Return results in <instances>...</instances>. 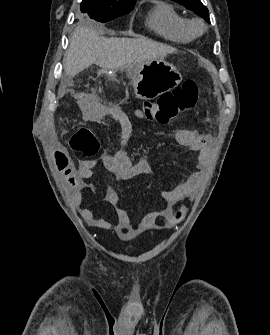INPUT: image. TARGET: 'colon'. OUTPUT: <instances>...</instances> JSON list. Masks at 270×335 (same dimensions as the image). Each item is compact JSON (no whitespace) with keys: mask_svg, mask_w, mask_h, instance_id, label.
<instances>
[{"mask_svg":"<svg viewBox=\"0 0 270 335\" xmlns=\"http://www.w3.org/2000/svg\"><path fill=\"white\" fill-rule=\"evenodd\" d=\"M198 95V87L191 81L178 85L164 92L157 100H144L136 114L149 122L165 125L180 113L194 107ZM69 146L75 154L85 158H94L99 154L100 142L88 127L77 129L70 137ZM179 216V214L177 215Z\"/></svg>","mask_w":270,"mask_h":335,"instance_id":"obj_1","label":"colon"}]
</instances>
